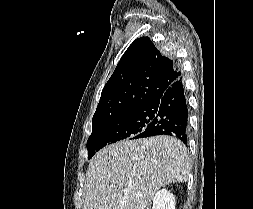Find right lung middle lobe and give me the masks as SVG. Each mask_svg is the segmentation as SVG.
<instances>
[{
	"label": "right lung middle lobe",
	"mask_w": 253,
	"mask_h": 209,
	"mask_svg": "<svg viewBox=\"0 0 253 209\" xmlns=\"http://www.w3.org/2000/svg\"><path fill=\"white\" fill-rule=\"evenodd\" d=\"M154 117L153 107L146 105L113 117L93 120L92 134L87 141L88 159L108 144L125 138L137 139Z\"/></svg>",
	"instance_id": "right-lung-middle-lobe-1"
}]
</instances>
